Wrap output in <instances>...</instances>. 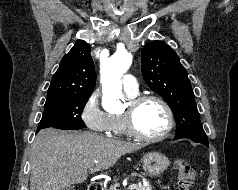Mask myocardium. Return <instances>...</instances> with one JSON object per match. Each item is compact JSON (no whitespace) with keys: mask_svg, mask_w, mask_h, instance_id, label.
I'll return each instance as SVG.
<instances>
[{"mask_svg":"<svg viewBox=\"0 0 238 190\" xmlns=\"http://www.w3.org/2000/svg\"><path fill=\"white\" fill-rule=\"evenodd\" d=\"M158 102L166 112L168 118V124L166 129L159 135L149 136L139 131L135 122V114L137 109L146 101ZM122 117L125 123L127 133L141 141L145 142H157L161 141L169 136L172 132L175 124L174 114L169 104L160 96L155 94H141L131 97L125 111L122 113Z\"/></svg>","mask_w":238,"mask_h":190,"instance_id":"obj_1","label":"myocardium"}]
</instances>
